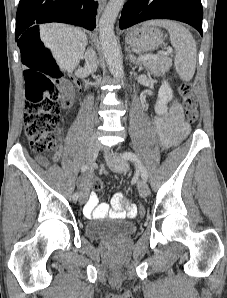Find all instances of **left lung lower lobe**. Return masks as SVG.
Returning a JSON list of instances; mask_svg holds the SVG:
<instances>
[{"label":"left lung lower lobe","instance_id":"0a47b994","mask_svg":"<svg viewBox=\"0 0 227 298\" xmlns=\"http://www.w3.org/2000/svg\"><path fill=\"white\" fill-rule=\"evenodd\" d=\"M201 0H129L122 10L119 26L128 28L150 19L185 22L202 35Z\"/></svg>","mask_w":227,"mask_h":298}]
</instances>
